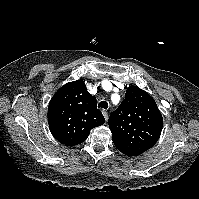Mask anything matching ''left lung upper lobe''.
Returning <instances> with one entry per match:
<instances>
[{"mask_svg":"<svg viewBox=\"0 0 199 199\" xmlns=\"http://www.w3.org/2000/svg\"><path fill=\"white\" fill-rule=\"evenodd\" d=\"M162 115L154 99L137 86H129L125 99L109 117L117 149L127 156L139 155L159 139Z\"/></svg>","mask_w":199,"mask_h":199,"instance_id":"left-lung-upper-lobe-1","label":"left lung upper lobe"}]
</instances>
